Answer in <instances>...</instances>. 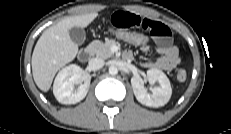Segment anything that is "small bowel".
<instances>
[{
	"label": "small bowel",
	"mask_w": 231,
	"mask_h": 134,
	"mask_svg": "<svg viewBox=\"0 0 231 134\" xmlns=\"http://www.w3.org/2000/svg\"><path fill=\"white\" fill-rule=\"evenodd\" d=\"M110 24L113 28L144 31L148 33L156 43L158 58L154 63L144 62L142 66L148 69H161L170 71L180 62L179 51L177 47L171 44V33L169 28L160 21L128 11H116L110 17ZM146 52L149 46L141 47ZM127 59H132L131 51L125 53Z\"/></svg>",
	"instance_id": "obj_1"
}]
</instances>
